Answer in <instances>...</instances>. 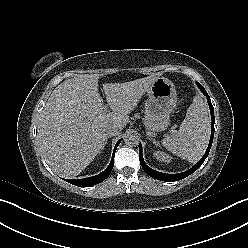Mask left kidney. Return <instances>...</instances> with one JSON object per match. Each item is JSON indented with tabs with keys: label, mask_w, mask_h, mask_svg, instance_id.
<instances>
[{
	"label": "left kidney",
	"mask_w": 248,
	"mask_h": 248,
	"mask_svg": "<svg viewBox=\"0 0 248 248\" xmlns=\"http://www.w3.org/2000/svg\"><path fill=\"white\" fill-rule=\"evenodd\" d=\"M154 156L160 161H164V162H170L171 161V157L164 152L157 151L154 153Z\"/></svg>",
	"instance_id": "5707ae66"
}]
</instances>
